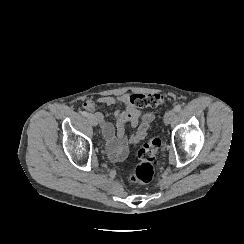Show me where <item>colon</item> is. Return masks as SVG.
Segmentation results:
<instances>
[{"label":"colon","instance_id":"1","mask_svg":"<svg viewBox=\"0 0 244 244\" xmlns=\"http://www.w3.org/2000/svg\"><path fill=\"white\" fill-rule=\"evenodd\" d=\"M131 104L136 108H157L165 104L166 96L159 92L146 94H133L130 97ZM138 135L133 137L134 142H139ZM161 145L159 137L152 135L147 138L141 149L138 151V162L135 172L130 173L129 178L132 182H148L154 175L153 163L155 155Z\"/></svg>","mask_w":244,"mask_h":244}]
</instances>
